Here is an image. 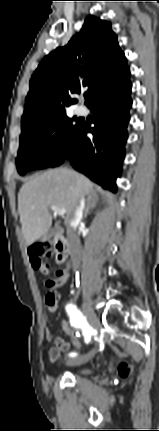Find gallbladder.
I'll list each match as a JSON object with an SVG mask.
<instances>
[{
	"mask_svg": "<svg viewBox=\"0 0 159 431\" xmlns=\"http://www.w3.org/2000/svg\"><path fill=\"white\" fill-rule=\"evenodd\" d=\"M54 233H55V229L50 228V229L46 232V234L43 236V240H45V241L50 240V239L52 238V236L54 235Z\"/></svg>",
	"mask_w": 159,
	"mask_h": 431,
	"instance_id": "obj_1",
	"label": "gallbladder"
}]
</instances>
